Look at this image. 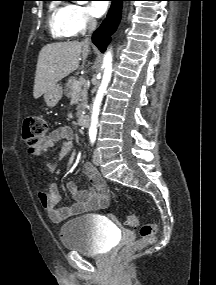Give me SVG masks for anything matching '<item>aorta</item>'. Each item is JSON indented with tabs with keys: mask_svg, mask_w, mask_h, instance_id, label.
Wrapping results in <instances>:
<instances>
[{
	"mask_svg": "<svg viewBox=\"0 0 216 285\" xmlns=\"http://www.w3.org/2000/svg\"><path fill=\"white\" fill-rule=\"evenodd\" d=\"M83 3V2H79ZM112 51L108 50L103 58V68L104 74L102 77V81L100 87L98 89L97 95L95 97L93 108H92V115H91V124L89 128L90 135H96L97 133V124H98V115L100 111V105L103 99L104 94L106 93L107 86L109 84L111 74H112Z\"/></svg>",
	"mask_w": 216,
	"mask_h": 285,
	"instance_id": "1",
	"label": "aorta"
}]
</instances>
